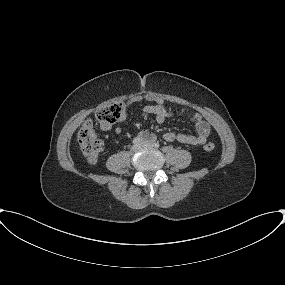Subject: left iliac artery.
<instances>
[{"label":"left iliac artery","mask_w":285,"mask_h":285,"mask_svg":"<svg viewBox=\"0 0 285 285\" xmlns=\"http://www.w3.org/2000/svg\"><path fill=\"white\" fill-rule=\"evenodd\" d=\"M159 146H160V145H159L158 142H155V143H154V147H155V148H158Z\"/></svg>","instance_id":"obj_1"}]
</instances>
